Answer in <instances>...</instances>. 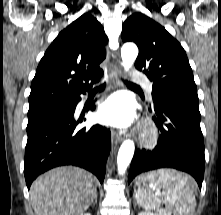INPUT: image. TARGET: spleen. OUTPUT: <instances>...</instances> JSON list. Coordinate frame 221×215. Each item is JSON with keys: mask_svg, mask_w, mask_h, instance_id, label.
Segmentation results:
<instances>
[{"mask_svg": "<svg viewBox=\"0 0 221 215\" xmlns=\"http://www.w3.org/2000/svg\"><path fill=\"white\" fill-rule=\"evenodd\" d=\"M144 175L137 179L138 189L135 191L137 203L141 207L145 210H155L164 204L168 210L174 212V215L193 214L196 200L193 194L195 182L192 178L176 171L162 170L156 182L149 175L152 182L149 186L150 189H146L144 186L141 187L139 182ZM152 189L154 192L151 191ZM160 189L163 190V194H161Z\"/></svg>", "mask_w": 221, "mask_h": 215, "instance_id": "spleen-1", "label": "spleen"}]
</instances>
